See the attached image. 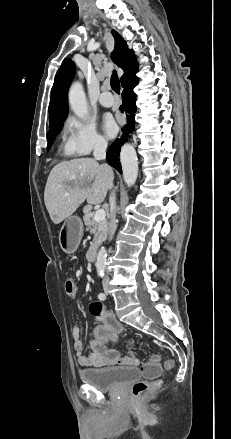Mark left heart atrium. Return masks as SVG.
I'll use <instances>...</instances> for the list:
<instances>
[{
	"label": "left heart atrium",
	"mask_w": 231,
	"mask_h": 439,
	"mask_svg": "<svg viewBox=\"0 0 231 439\" xmlns=\"http://www.w3.org/2000/svg\"><path fill=\"white\" fill-rule=\"evenodd\" d=\"M102 128L109 138H112L117 133V125L111 116L103 118Z\"/></svg>",
	"instance_id": "left-heart-atrium-1"
}]
</instances>
